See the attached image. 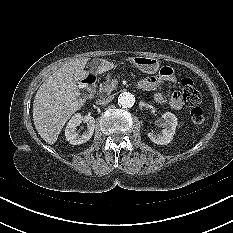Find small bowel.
<instances>
[{"label":"small bowel","mask_w":233,"mask_h":233,"mask_svg":"<svg viewBox=\"0 0 233 233\" xmlns=\"http://www.w3.org/2000/svg\"><path fill=\"white\" fill-rule=\"evenodd\" d=\"M141 82L144 85V90L151 91L158 89L164 83L175 85L177 79L172 68L162 67L158 75L145 78ZM154 97L156 102L160 104L167 102L166 97L160 92H157ZM168 103L173 109L180 110L183 107V98L181 93L179 91H174L168 99Z\"/></svg>","instance_id":"c3829d8e"}]
</instances>
